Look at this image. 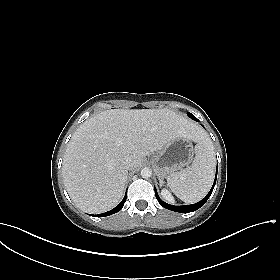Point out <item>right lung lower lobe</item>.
<instances>
[{"instance_id":"right-lung-lower-lobe-1","label":"right lung lower lobe","mask_w":280,"mask_h":280,"mask_svg":"<svg viewBox=\"0 0 280 280\" xmlns=\"http://www.w3.org/2000/svg\"><path fill=\"white\" fill-rule=\"evenodd\" d=\"M126 197H127V193L125 194V197L123 198V200L121 201V203L116 206L114 209L108 211V212H105V213H102V214H98L97 217H105V216H109V215H112L114 213H117L118 211H120L122 208H123V205L126 201Z\"/></svg>"}]
</instances>
